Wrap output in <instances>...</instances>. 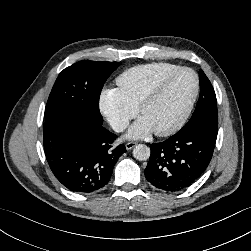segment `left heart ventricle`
I'll use <instances>...</instances> for the list:
<instances>
[{
    "label": "left heart ventricle",
    "instance_id": "1",
    "mask_svg": "<svg viewBox=\"0 0 251 251\" xmlns=\"http://www.w3.org/2000/svg\"><path fill=\"white\" fill-rule=\"evenodd\" d=\"M195 87L194 76L182 72L175 76L160 96L142 112L153 131L171 127L184 112Z\"/></svg>",
    "mask_w": 251,
    "mask_h": 251
}]
</instances>
